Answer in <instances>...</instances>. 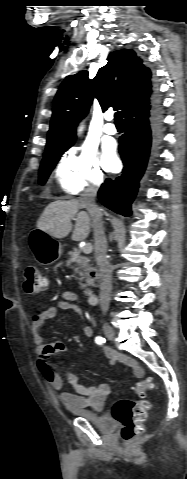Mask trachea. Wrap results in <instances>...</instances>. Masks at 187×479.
Segmentation results:
<instances>
[{
	"mask_svg": "<svg viewBox=\"0 0 187 479\" xmlns=\"http://www.w3.org/2000/svg\"><path fill=\"white\" fill-rule=\"evenodd\" d=\"M114 119H115V124H117V125L124 124V120L122 118V113L120 111L115 113Z\"/></svg>",
	"mask_w": 187,
	"mask_h": 479,
	"instance_id": "trachea-1",
	"label": "trachea"
}]
</instances>
